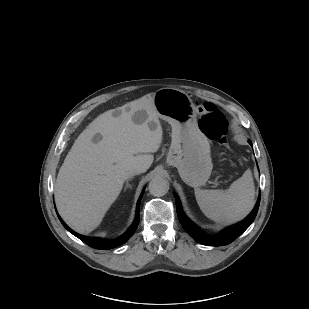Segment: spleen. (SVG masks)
<instances>
[{
	"label": "spleen",
	"mask_w": 309,
	"mask_h": 309,
	"mask_svg": "<svg viewBox=\"0 0 309 309\" xmlns=\"http://www.w3.org/2000/svg\"><path fill=\"white\" fill-rule=\"evenodd\" d=\"M255 187L249 170L234 181L229 189H195V197L202 212L217 222H236L253 208Z\"/></svg>",
	"instance_id": "obj_1"
}]
</instances>
